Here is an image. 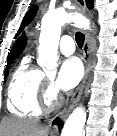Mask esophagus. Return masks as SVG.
Returning a JSON list of instances; mask_svg holds the SVG:
<instances>
[{
	"label": "esophagus",
	"mask_w": 117,
	"mask_h": 136,
	"mask_svg": "<svg viewBox=\"0 0 117 136\" xmlns=\"http://www.w3.org/2000/svg\"><path fill=\"white\" fill-rule=\"evenodd\" d=\"M77 5L80 10L85 13L86 12V2L85 0H76ZM83 58L85 64V73L82 81L72 94V97L66 107L59 114L61 118H64L68 115V113L73 109V107L78 103L85 88L86 82L89 77L90 66H91V36L89 32L85 34V42L83 45ZM52 132L56 134L58 132V127L55 125L52 129Z\"/></svg>",
	"instance_id": "obj_1"
}]
</instances>
